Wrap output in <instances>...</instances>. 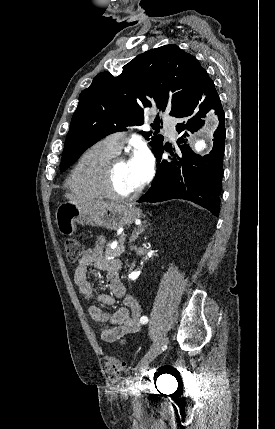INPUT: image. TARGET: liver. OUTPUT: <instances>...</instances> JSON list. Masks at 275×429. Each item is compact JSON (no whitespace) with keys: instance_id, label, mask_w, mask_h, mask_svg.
<instances>
[{"instance_id":"6515ba94","label":"liver","mask_w":275,"mask_h":429,"mask_svg":"<svg viewBox=\"0 0 275 429\" xmlns=\"http://www.w3.org/2000/svg\"><path fill=\"white\" fill-rule=\"evenodd\" d=\"M64 197L69 200V203L76 204L80 209L83 210L99 211L117 205L115 203L83 200L70 193H65Z\"/></svg>"}]
</instances>
